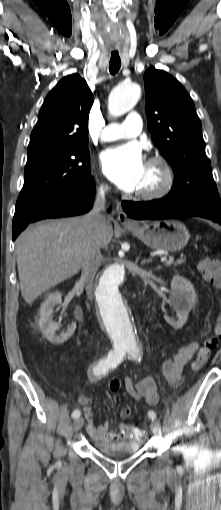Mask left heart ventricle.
<instances>
[{"mask_svg":"<svg viewBox=\"0 0 221 510\" xmlns=\"http://www.w3.org/2000/svg\"><path fill=\"white\" fill-rule=\"evenodd\" d=\"M162 182V172L158 166L145 165V172L138 191H148L157 188Z\"/></svg>","mask_w":221,"mask_h":510,"instance_id":"1","label":"left heart ventricle"}]
</instances>
